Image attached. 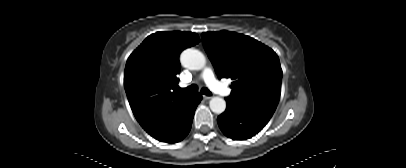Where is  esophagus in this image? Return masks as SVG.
Masks as SVG:
<instances>
[{"instance_id": "obj_1", "label": "esophagus", "mask_w": 406, "mask_h": 168, "mask_svg": "<svg viewBox=\"0 0 406 168\" xmlns=\"http://www.w3.org/2000/svg\"><path fill=\"white\" fill-rule=\"evenodd\" d=\"M203 98L208 100V99H211V96L203 95Z\"/></svg>"}]
</instances>
